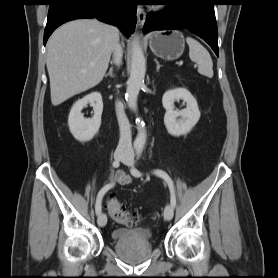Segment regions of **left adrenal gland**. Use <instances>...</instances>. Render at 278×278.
<instances>
[{
    "label": "left adrenal gland",
    "instance_id": "1",
    "mask_svg": "<svg viewBox=\"0 0 278 278\" xmlns=\"http://www.w3.org/2000/svg\"><path fill=\"white\" fill-rule=\"evenodd\" d=\"M154 61L156 62V65H157L156 71H159L161 65L159 64V62L156 59H154Z\"/></svg>",
    "mask_w": 278,
    "mask_h": 278
}]
</instances>
